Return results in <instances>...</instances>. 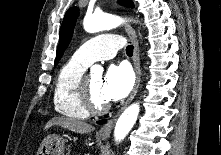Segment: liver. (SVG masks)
Here are the masks:
<instances>
[{"mask_svg": "<svg viewBox=\"0 0 221 155\" xmlns=\"http://www.w3.org/2000/svg\"><path fill=\"white\" fill-rule=\"evenodd\" d=\"M57 125L61 126L65 129H68L72 132L80 133V134H85V133H90L95 130V127L80 121L76 120L73 118H67V117H54L51 120L47 122L45 125L44 130H48L50 127Z\"/></svg>", "mask_w": 221, "mask_h": 155, "instance_id": "6515ba94", "label": "liver"}]
</instances>
